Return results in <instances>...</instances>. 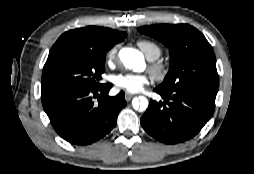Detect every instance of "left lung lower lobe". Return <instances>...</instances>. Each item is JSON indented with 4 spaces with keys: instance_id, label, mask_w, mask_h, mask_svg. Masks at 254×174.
<instances>
[{
    "instance_id": "left-lung-lower-lobe-1",
    "label": "left lung lower lobe",
    "mask_w": 254,
    "mask_h": 174,
    "mask_svg": "<svg viewBox=\"0 0 254 174\" xmlns=\"http://www.w3.org/2000/svg\"><path fill=\"white\" fill-rule=\"evenodd\" d=\"M164 102L150 100L141 117L144 130L165 144L193 138L211 118L218 90L186 86L175 91L154 89Z\"/></svg>"
}]
</instances>
